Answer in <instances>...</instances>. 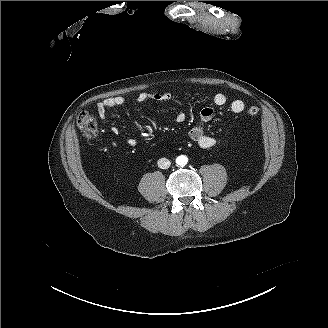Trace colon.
Returning <instances> with one entry per match:
<instances>
[{"label": "colon", "instance_id": "1", "mask_svg": "<svg viewBox=\"0 0 328 328\" xmlns=\"http://www.w3.org/2000/svg\"><path fill=\"white\" fill-rule=\"evenodd\" d=\"M259 113V108L256 106H251L247 109V114L251 117L257 116ZM77 125L86 138H93L97 134V123L93 116L88 112H82L78 116Z\"/></svg>", "mask_w": 328, "mask_h": 328}]
</instances>
